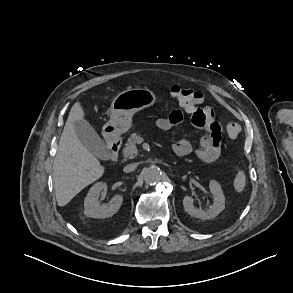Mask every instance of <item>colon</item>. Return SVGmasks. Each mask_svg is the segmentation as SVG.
Returning <instances> with one entry per match:
<instances>
[{
    "label": "colon",
    "mask_w": 293,
    "mask_h": 293,
    "mask_svg": "<svg viewBox=\"0 0 293 293\" xmlns=\"http://www.w3.org/2000/svg\"><path fill=\"white\" fill-rule=\"evenodd\" d=\"M170 93L178 104L187 112H192L194 116L200 115L197 110L202 101L199 92L188 87L173 85L170 89ZM240 132L241 126L237 122L230 121L227 124V134L230 138H236Z\"/></svg>",
    "instance_id": "colon-1"
}]
</instances>
